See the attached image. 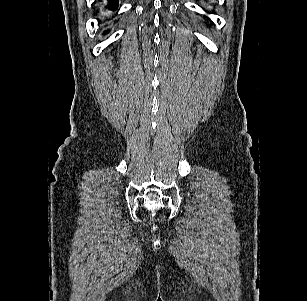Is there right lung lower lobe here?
I'll return each mask as SVG.
<instances>
[{
	"instance_id": "obj_1",
	"label": "right lung lower lobe",
	"mask_w": 307,
	"mask_h": 301,
	"mask_svg": "<svg viewBox=\"0 0 307 301\" xmlns=\"http://www.w3.org/2000/svg\"><path fill=\"white\" fill-rule=\"evenodd\" d=\"M109 3H108V6L107 8L109 10H116L117 9V4H118V0H108Z\"/></svg>"
}]
</instances>
